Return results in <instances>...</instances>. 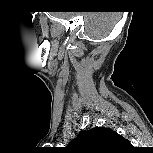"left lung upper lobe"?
<instances>
[{
    "instance_id": "obj_1",
    "label": "left lung upper lobe",
    "mask_w": 153,
    "mask_h": 153,
    "mask_svg": "<svg viewBox=\"0 0 153 153\" xmlns=\"http://www.w3.org/2000/svg\"><path fill=\"white\" fill-rule=\"evenodd\" d=\"M130 146L127 139L109 128L95 127L81 132L71 141L69 148L79 153H113Z\"/></svg>"
}]
</instances>
